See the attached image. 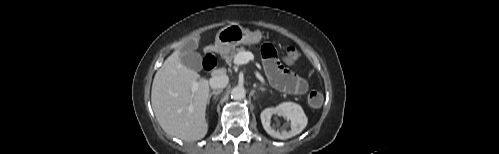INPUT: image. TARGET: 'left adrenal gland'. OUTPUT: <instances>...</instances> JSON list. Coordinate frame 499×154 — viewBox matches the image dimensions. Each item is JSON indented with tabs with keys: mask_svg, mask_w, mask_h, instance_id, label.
<instances>
[{
	"mask_svg": "<svg viewBox=\"0 0 499 154\" xmlns=\"http://www.w3.org/2000/svg\"><path fill=\"white\" fill-rule=\"evenodd\" d=\"M260 90H262L263 92L265 91V89H263V88H260Z\"/></svg>",
	"mask_w": 499,
	"mask_h": 154,
	"instance_id": "left-adrenal-gland-1",
	"label": "left adrenal gland"
}]
</instances>
